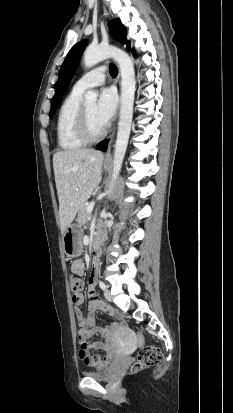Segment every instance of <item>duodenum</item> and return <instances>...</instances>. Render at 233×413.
Listing matches in <instances>:
<instances>
[{"instance_id": "obj_1", "label": "duodenum", "mask_w": 233, "mask_h": 413, "mask_svg": "<svg viewBox=\"0 0 233 413\" xmlns=\"http://www.w3.org/2000/svg\"><path fill=\"white\" fill-rule=\"evenodd\" d=\"M102 241H103V237L100 234L96 235L92 241V247L97 251V255L95 256L94 261H93L94 268H98L100 265L98 250H99V247Z\"/></svg>"}]
</instances>
